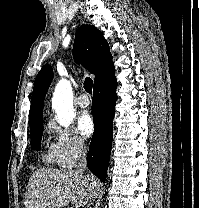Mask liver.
I'll return each mask as SVG.
<instances>
[{
  "label": "liver",
  "instance_id": "6515ba94",
  "mask_svg": "<svg viewBox=\"0 0 199 208\" xmlns=\"http://www.w3.org/2000/svg\"><path fill=\"white\" fill-rule=\"evenodd\" d=\"M101 183L93 175L70 169H38L31 174L25 208L81 207L96 198Z\"/></svg>",
  "mask_w": 199,
  "mask_h": 208
}]
</instances>
